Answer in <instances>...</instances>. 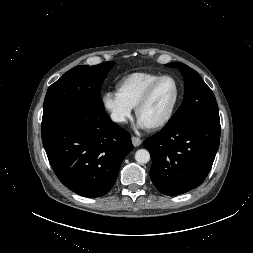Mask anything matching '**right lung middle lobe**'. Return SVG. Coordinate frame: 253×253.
Returning a JSON list of instances; mask_svg holds the SVG:
<instances>
[{"mask_svg": "<svg viewBox=\"0 0 253 253\" xmlns=\"http://www.w3.org/2000/svg\"><path fill=\"white\" fill-rule=\"evenodd\" d=\"M114 64L109 61L94 66L79 65L67 71L49 87L42 120L70 109H81L87 113L103 110L100 90Z\"/></svg>", "mask_w": 253, "mask_h": 253, "instance_id": "obj_1", "label": "right lung middle lobe"}]
</instances>
